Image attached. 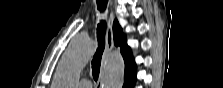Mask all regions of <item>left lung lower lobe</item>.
Returning <instances> with one entry per match:
<instances>
[{
  "label": "left lung lower lobe",
  "mask_w": 223,
  "mask_h": 88,
  "mask_svg": "<svg viewBox=\"0 0 223 88\" xmlns=\"http://www.w3.org/2000/svg\"><path fill=\"white\" fill-rule=\"evenodd\" d=\"M125 82L124 88H133L135 80H136V67L135 65H127L125 64Z\"/></svg>",
  "instance_id": "1"
}]
</instances>
